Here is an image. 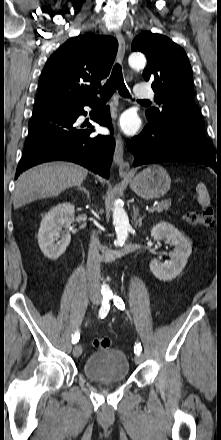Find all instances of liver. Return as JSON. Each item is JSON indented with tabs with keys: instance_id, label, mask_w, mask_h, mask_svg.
Returning a JSON list of instances; mask_svg holds the SVG:
<instances>
[{
	"instance_id": "obj_1",
	"label": "liver",
	"mask_w": 221,
	"mask_h": 440,
	"mask_svg": "<svg viewBox=\"0 0 221 440\" xmlns=\"http://www.w3.org/2000/svg\"><path fill=\"white\" fill-rule=\"evenodd\" d=\"M88 170L66 162L45 163L22 173L13 195L14 208L38 199L55 197L72 186H79Z\"/></svg>"
}]
</instances>
